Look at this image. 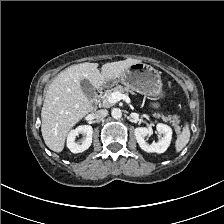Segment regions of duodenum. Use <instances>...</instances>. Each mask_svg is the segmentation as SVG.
<instances>
[{
	"label": "duodenum",
	"instance_id": "obj_1",
	"mask_svg": "<svg viewBox=\"0 0 224 224\" xmlns=\"http://www.w3.org/2000/svg\"><path fill=\"white\" fill-rule=\"evenodd\" d=\"M97 93H98V88L95 91V96L91 100V106H92L93 109H95L97 104H98Z\"/></svg>",
	"mask_w": 224,
	"mask_h": 224
}]
</instances>
